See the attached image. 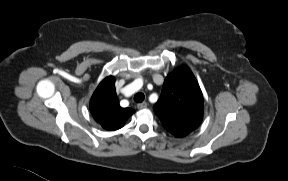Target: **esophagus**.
I'll list each match as a JSON object with an SVG mask.
<instances>
[{"mask_svg":"<svg viewBox=\"0 0 288 181\" xmlns=\"http://www.w3.org/2000/svg\"><path fill=\"white\" fill-rule=\"evenodd\" d=\"M147 106H148L147 102H142L137 105V108L141 110L147 108Z\"/></svg>","mask_w":288,"mask_h":181,"instance_id":"34e87169","label":"esophagus"}]
</instances>
